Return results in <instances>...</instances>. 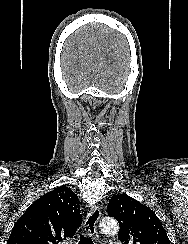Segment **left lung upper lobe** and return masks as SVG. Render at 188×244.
I'll return each instance as SVG.
<instances>
[{
  "mask_svg": "<svg viewBox=\"0 0 188 244\" xmlns=\"http://www.w3.org/2000/svg\"><path fill=\"white\" fill-rule=\"evenodd\" d=\"M107 211L119 222L118 238L124 244H170L155 213L127 194L113 195Z\"/></svg>",
  "mask_w": 188,
  "mask_h": 244,
  "instance_id": "1",
  "label": "left lung upper lobe"
}]
</instances>
